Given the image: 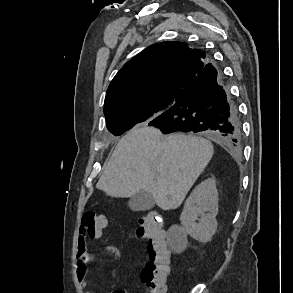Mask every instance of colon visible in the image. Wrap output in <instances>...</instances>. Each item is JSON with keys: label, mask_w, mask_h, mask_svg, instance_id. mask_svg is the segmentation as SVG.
<instances>
[{"label": "colon", "mask_w": 293, "mask_h": 293, "mask_svg": "<svg viewBox=\"0 0 293 293\" xmlns=\"http://www.w3.org/2000/svg\"><path fill=\"white\" fill-rule=\"evenodd\" d=\"M82 230L90 238H99L106 226V218L93 211L85 212ZM163 217L157 211H151L141 217L137 223L136 234L148 241V259L141 271V279L146 293H165L170 273L169 250L162 230Z\"/></svg>", "instance_id": "obj_1"}]
</instances>
